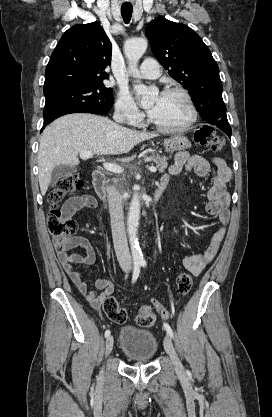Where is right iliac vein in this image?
<instances>
[{"mask_svg": "<svg viewBox=\"0 0 272 417\" xmlns=\"http://www.w3.org/2000/svg\"><path fill=\"white\" fill-rule=\"evenodd\" d=\"M113 343H114L113 336H108L107 339H106V345H105V348H106L105 354H106V356H108L111 353V351L113 349Z\"/></svg>", "mask_w": 272, "mask_h": 417, "instance_id": "63e3f726", "label": "right iliac vein"}]
</instances>
